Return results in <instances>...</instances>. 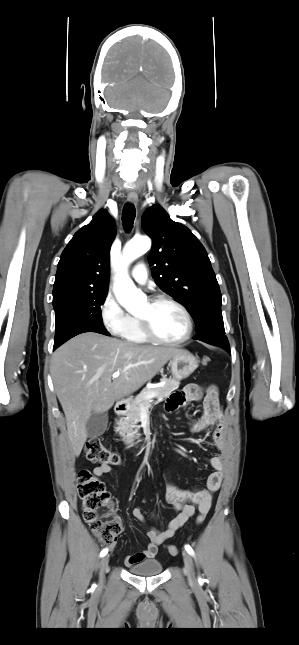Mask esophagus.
<instances>
[{
	"label": "esophagus",
	"instance_id": "34e87169",
	"mask_svg": "<svg viewBox=\"0 0 299 645\" xmlns=\"http://www.w3.org/2000/svg\"><path fill=\"white\" fill-rule=\"evenodd\" d=\"M127 200L130 203L137 204L138 203V195L137 194H128Z\"/></svg>",
	"mask_w": 299,
	"mask_h": 645
}]
</instances>
